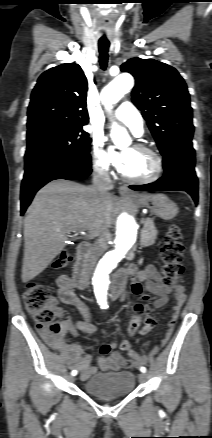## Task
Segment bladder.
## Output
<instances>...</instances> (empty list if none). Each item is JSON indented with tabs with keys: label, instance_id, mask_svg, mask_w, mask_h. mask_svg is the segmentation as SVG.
Returning a JSON list of instances; mask_svg holds the SVG:
<instances>
[{
	"label": "bladder",
	"instance_id": "bladder-1",
	"mask_svg": "<svg viewBox=\"0 0 212 438\" xmlns=\"http://www.w3.org/2000/svg\"><path fill=\"white\" fill-rule=\"evenodd\" d=\"M82 387L103 399L127 396L134 390L135 375L130 371L101 372L85 380Z\"/></svg>",
	"mask_w": 212,
	"mask_h": 438
}]
</instances>
